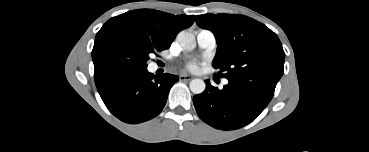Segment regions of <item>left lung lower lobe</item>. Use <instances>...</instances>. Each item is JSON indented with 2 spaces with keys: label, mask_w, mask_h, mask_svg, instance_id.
<instances>
[{
  "label": "left lung lower lobe",
  "mask_w": 369,
  "mask_h": 152,
  "mask_svg": "<svg viewBox=\"0 0 369 152\" xmlns=\"http://www.w3.org/2000/svg\"><path fill=\"white\" fill-rule=\"evenodd\" d=\"M203 93L194 96L198 116L216 129L233 130L252 122L268 105L276 86L231 81L222 90L206 80Z\"/></svg>",
  "instance_id": "0a47b994"
}]
</instances>
